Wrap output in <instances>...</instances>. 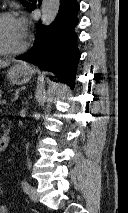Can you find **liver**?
Wrapping results in <instances>:
<instances>
[{
    "label": "liver",
    "instance_id": "6515ba94",
    "mask_svg": "<svg viewBox=\"0 0 128 213\" xmlns=\"http://www.w3.org/2000/svg\"><path fill=\"white\" fill-rule=\"evenodd\" d=\"M10 64V61L0 60V68L7 67Z\"/></svg>",
    "mask_w": 128,
    "mask_h": 213
}]
</instances>
